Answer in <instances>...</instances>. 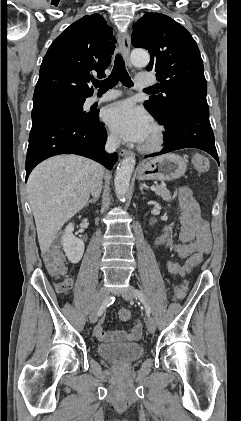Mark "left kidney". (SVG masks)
<instances>
[{
    "label": "left kidney",
    "instance_id": "1",
    "mask_svg": "<svg viewBox=\"0 0 241 421\" xmlns=\"http://www.w3.org/2000/svg\"><path fill=\"white\" fill-rule=\"evenodd\" d=\"M164 231H171V228L170 227H165L164 228Z\"/></svg>",
    "mask_w": 241,
    "mask_h": 421
}]
</instances>
